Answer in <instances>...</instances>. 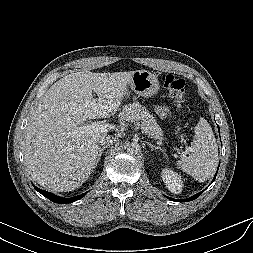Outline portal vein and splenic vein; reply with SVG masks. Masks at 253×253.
I'll return each instance as SVG.
<instances>
[{"instance_id": "obj_1", "label": "portal vein and splenic vein", "mask_w": 253, "mask_h": 253, "mask_svg": "<svg viewBox=\"0 0 253 253\" xmlns=\"http://www.w3.org/2000/svg\"><path fill=\"white\" fill-rule=\"evenodd\" d=\"M80 128L91 132H108L114 129L115 127L111 124H100L98 122H92L91 124L82 126ZM155 138L158 139L159 137Z\"/></svg>"}]
</instances>
